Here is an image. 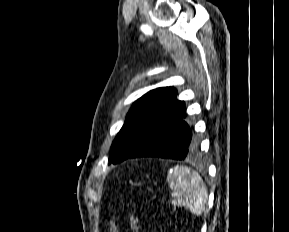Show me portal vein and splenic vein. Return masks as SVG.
Segmentation results:
<instances>
[{
    "label": "portal vein and splenic vein",
    "mask_w": 289,
    "mask_h": 232,
    "mask_svg": "<svg viewBox=\"0 0 289 232\" xmlns=\"http://www.w3.org/2000/svg\"><path fill=\"white\" fill-rule=\"evenodd\" d=\"M175 196H177L176 193H171V197H175Z\"/></svg>",
    "instance_id": "portal-vein-and-splenic-vein-1"
}]
</instances>
